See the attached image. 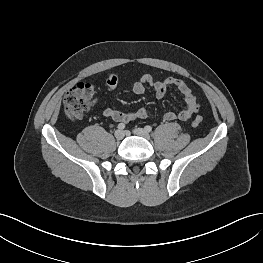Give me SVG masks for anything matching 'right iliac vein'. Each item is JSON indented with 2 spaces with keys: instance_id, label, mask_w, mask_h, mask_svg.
I'll list each match as a JSON object with an SVG mask.
<instances>
[{
  "instance_id": "right-iliac-vein-1",
  "label": "right iliac vein",
  "mask_w": 263,
  "mask_h": 263,
  "mask_svg": "<svg viewBox=\"0 0 263 263\" xmlns=\"http://www.w3.org/2000/svg\"><path fill=\"white\" fill-rule=\"evenodd\" d=\"M114 136L117 140H122L125 136V133L122 130H116Z\"/></svg>"
}]
</instances>
